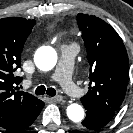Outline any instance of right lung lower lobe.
Masks as SVG:
<instances>
[{
    "instance_id": "98d812e1",
    "label": "right lung lower lobe",
    "mask_w": 133,
    "mask_h": 133,
    "mask_svg": "<svg viewBox=\"0 0 133 133\" xmlns=\"http://www.w3.org/2000/svg\"><path fill=\"white\" fill-rule=\"evenodd\" d=\"M43 107L44 102L39 100L36 105L29 108L16 122L5 128V130L9 133H17L26 129L34 122Z\"/></svg>"
}]
</instances>
